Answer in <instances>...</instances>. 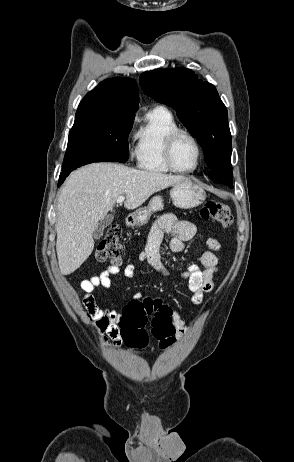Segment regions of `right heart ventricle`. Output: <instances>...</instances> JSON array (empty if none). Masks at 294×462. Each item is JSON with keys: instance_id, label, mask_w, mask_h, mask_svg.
Returning <instances> with one entry per match:
<instances>
[{"instance_id": "right-heart-ventricle-1", "label": "right heart ventricle", "mask_w": 294, "mask_h": 462, "mask_svg": "<svg viewBox=\"0 0 294 462\" xmlns=\"http://www.w3.org/2000/svg\"><path fill=\"white\" fill-rule=\"evenodd\" d=\"M177 128L173 114L164 106H156L145 114L135 135V158L140 169L154 174L171 171L164 161V143L167 135Z\"/></svg>"}]
</instances>
